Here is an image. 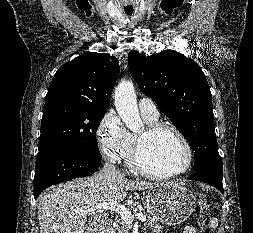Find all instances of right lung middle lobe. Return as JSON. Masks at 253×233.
<instances>
[{"label": "right lung middle lobe", "mask_w": 253, "mask_h": 233, "mask_svg": "<svg viewBox=\"0 0 253 233\" xmlns=\"http://www.w3.org/2000/svg\"><path fill=\"white\" fill-rule=\"evenodd\" d=\"M106 111L88 104L44 105L38 154L61 149L102 158L96 131Z\"/></svg>", "instance_id": "obj_1"}]
</instances>
